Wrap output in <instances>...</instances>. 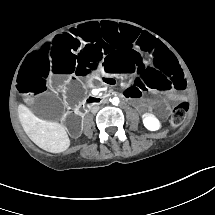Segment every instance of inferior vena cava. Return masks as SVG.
Here are the masks:
<instances>
[{"instance_id":"obj_1","label":"inferior vena cava","mask_w":215,"mask_h":215,"mask_svg":"<svg viewBox=\"0 0 215 215\" xmlns=\"http://www.w3.org/2000/svg\"><path fill=\"white\" fill-rule=\"evenodd\" d=\"M99 109H100V106H93V107L91 108V112H92L93 114H95V113H97V112L99 111Z\"/></svg>"}]
</instances>
